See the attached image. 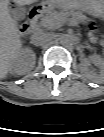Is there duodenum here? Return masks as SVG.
<instances>
[{
  "label": "duodenum",
  "instance_id": "obj_1",
  "mask_svg": "<svg viewBox=\"0 0 104 137\" xmlns=\"http://www.w3.org/2000/svg\"><path fill=\"white\" fill-rule=\"evenodd\" d=\"M50 7L46 4L38 5L37 7L33 8L27 17V19L23 23V32L26 35H30L34 31L35 23L38 18L48 12Z\"/></svg>",
  "mask_w": 104,
  "mask_h": 137
}]
</instances>
